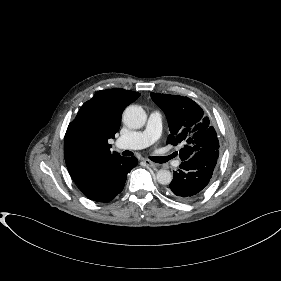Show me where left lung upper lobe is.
Returning <instances> with one entry per match:
<instances>
[{
    "label": "left lung upper lobe",
    "instance_id": "5c2ea615",
    "mask_svg": "<svg viewBox=\"0 0 281 281\" xmlns=\"http://www.w3.org/2000/svg\"><path fill=\"white\" fill-rule=\"evenodd\" d=\"M152 100L164 111L170 129L167 143L181 144L182 161L188 160L199 151L219 150L216 131L201 107L190 98L151 93Z\"/></svg>",
    "mask_w": 281,
    "mask_h": 281
}]
</instances>
